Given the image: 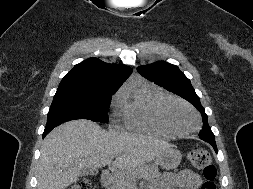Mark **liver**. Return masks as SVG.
Here are the masks:
<instances>
[{
	"instance_id": "liver-1",
	"label": "liver",
	"mask_w": 253,
	"mask_h": 189,
	"mask_svg": "<svg viewBox=\"0 0 253 189\" xmlns=\"http://www.w3.org/2000/svg\"><path fill=\"white\" fill-rule=\"evenodd\" d=\"M171 147L166 141L142 134L105 131L90 120L69 121L43 141L37 189H65L78 180L84 167L106 165L125 173V189H136V179L146 176V164Z\"/></svg>"
}]
</instances>
